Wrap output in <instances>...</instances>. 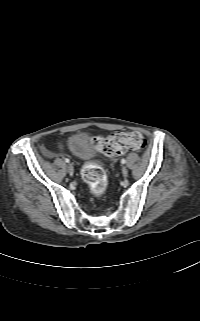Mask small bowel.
<instances>
[{"instance_id": "small-bowel-1", "label": "small bowel", "mask_w": 200, "mask_h": 321, "mask_svg": "<svg viewBox=\"0 0 200 321\" xmlns=\"http://www.w3.org/2000/svg\"><path fill=\"white\" fill-rule=\"evenodd\" d=\"M47 155H48L49 157H52V156H53V153L47 152Z\"/></svg>"}]
</instances>
